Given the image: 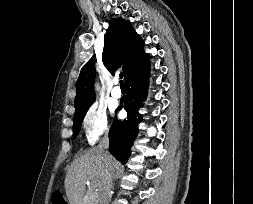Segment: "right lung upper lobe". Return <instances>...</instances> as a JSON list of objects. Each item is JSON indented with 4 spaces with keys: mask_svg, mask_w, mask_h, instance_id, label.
Segmentation results:
<instances>
[{
    "mask_svg": "<svg viewBox=\"0 0 253 204\" xmlns=\"http://www.w3.org/2000/svg\"><path fill=\"white\" fill-rule=\"evenodd\" d=\"M143 45V40L135 32L130 21L122 18L111 19L104 37L102 61L111 73L122 66L126 79L146 55ZM95 61L94 55L83 66L76 82L75 114L90 106L95 100L93 92Z\"/></svg>",
    "mask_w": 253,
    "mask_h": 204,
    "instance_id": "obj_1",
    "label": "right lung upper lobe"
}]
</instances>
